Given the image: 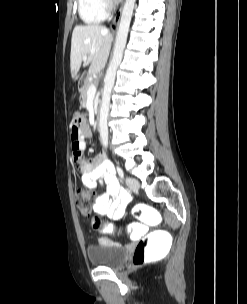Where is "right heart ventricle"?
<instances>
[{
	"mask_svg": "<svg viewBox=\"0 0 247 304\" xmlns=\"http://www.w3.org/2000/svg\"><path fill=\"white\" fill-rule=\"evenodd\" d=\"M77 5L80 19L87 25L99 24L107 17L102 0H77Z\"/></svg>",
	"mask_w": 247,
	"mask_h": 304,
	"instance_id": "obj_1",
	"label": "right heart ventricle"
}]
</instances>
